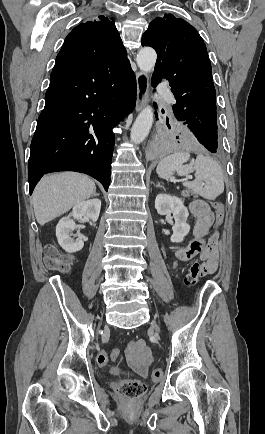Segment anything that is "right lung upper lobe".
Returning <instances> with one entry per match:
<instances>
[{"mask_svg": "<svg viewBox=\"0 0 265 434\" xmlns=\"http://www.w3.org/2000/svg\"><path fill=\"white\" fill-rule=\"evenodd\" d=\"M121 57H126V50L114 21L99 16L68 34L55 64H101Z\"/></svg>", "mask_w": 265, "mask_h": 434, "instance_id": "cb5924a9", "label": "right lung upper lobe"}]
</instances>
